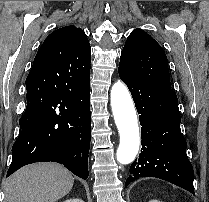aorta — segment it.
Here are the masks:
<instances>
[{"label": "aorta", "mask_w": 209, "mask_h": 202, "mask_svg": "<svg viewBox=\"0 0 209 202\" xmlns=\"http://www.w3.org/2000/svg\"><path fill=\"white\" fill-rule=\"evenodd\" d=\"M110 99L115 124L120 136L116 158L121 164H129L135 159L140 145V133L134 103L126 85L121 81L112 86Z\"/></svg>", "instance_id": "aorta-1"}]
</instances>
